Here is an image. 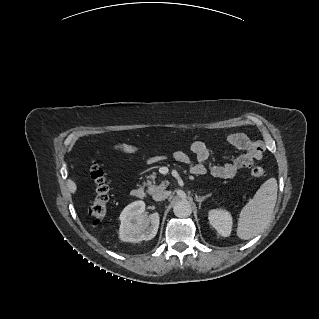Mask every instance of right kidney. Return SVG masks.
Here are the masks:
<instances>
[{
  "label": "right kidney",
  "mask_w": 319,
  "mask_h": 319,
  "mask_svg": "<svg viewBox=\"0 0 319 319\" xmlns=\"http://www.w3.org/2000/svg\"><path fill=\"white\" fill-rule=\"evenodd\" d=\"M121 224L119 237L126 242H140L153 239L159 227V214H145L144 201H135L127 205L119 217Z\"/></svg>",
  "instance_id": "right-kidney-1"
}]
</instances>
